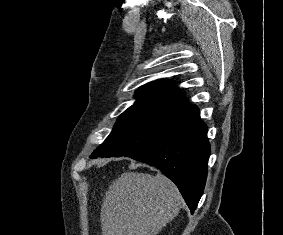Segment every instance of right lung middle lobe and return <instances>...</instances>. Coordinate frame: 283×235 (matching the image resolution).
<instances>
[{
	"mask_svg": "<svg viewBox=\"0 0 283 235\" xmlns=\"http://www.w3.org/2000/svg\"><path fill=\"white\" fill-rule=\"evenodd\" d=\"M190 106L170 102L135 103L123 112L111 134L91 157L126 156L167 134Z\"/></svg>",
	"mask_w": 283,
	"mask_h": 235,
	"instance_id": "obj_1",
	"label": "right lung middle lobe"
}]
</instances>
